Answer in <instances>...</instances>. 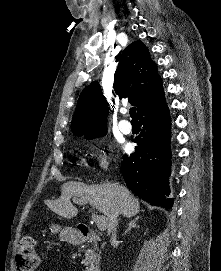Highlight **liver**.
Here are the masks:
<instances>
[{
    "label": "liver",
    "instance_id": "6515ba94",
    "mask_svg": "<svg viewBox=\"0 0 221 271\" xmlns=\"http://www.w3.org/2000/svg\"><path fill=\"white\" fill-rule=\"evenodd\" d=\"M72 195L81 197L80 201H89L91 205H95L98 211L104 213L108 217L107 233H111L114 219L117 215L124 217H132L140 211V203L137 197L132 195L131 191L118 185L105 181L100 185H84L80 181H68L62 185V193L58 199H47L46 203L52 211L62 215V217H75L78 213L77 207L71 203Z\"/></svg>",
    "mask_w": 221,
    "mask_h": 271
}]
</instances>
